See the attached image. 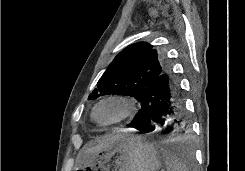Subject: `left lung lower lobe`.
Masks as SVG:
<instances>
[{"label": "left lung lower lobe", "mask_w": 245, "mask_h": 171, "mask_svg": "<svg viewBox=\"0 0 245 171\" xmlns=\"http://www.w3.org/2000/svg\"><path fill=\"white\" fill-rule=\"evenodd\" d=\"M139 102L142 108L129 127L140 133L153 131L156 124L172 126L174 131L186 128V110L181 89L167 68L145 88Z\"/></svg>", "instance_id": "0a47b994"}]
</instances>
